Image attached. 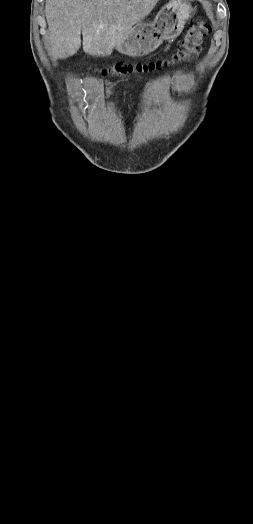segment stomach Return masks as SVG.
<instances>
[{"mask_svg": "<svg viewBox=\"0 0 253 524\" xmlns=\"http://www.w3.org/2000/svg\"><path fill=\"white\" fill-rule=\"evenodd\" d=\"M184 0H172L157 14L152 23H137L115 48L121 54L139 57L153 52L164 40L180 35L192 14Z\"/></svg>", "mask_w": 253, "mask_h": 524, "instance_id": "1", "label": "stomach"}]
</instances>
